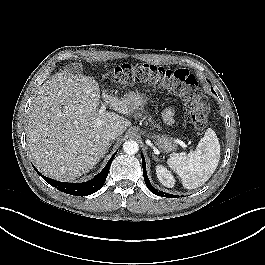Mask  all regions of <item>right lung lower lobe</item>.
Masks as SVG:
<instances>
[{
	"label": "right lung lower lobe",
	"mask_w": 265,
	"mask_h": 265,
	"mask_svg": "<svg viewBox=\"0 0 265 265\" xmlns=\"http://www.w3.org/2000/svg\"><path fill=\"white\" fill-rule=\"evenodd\" d=\"M115 154L110 158L104 169L99 174H97L92 180L83 183L59 182L41 175V173L34 166L33 167L47 183H49L53 187H56L58 190L75 196H87L98 191L104 185Z\"/></svg>",
	"instance_id": "obj_1"
}]
</instances>
